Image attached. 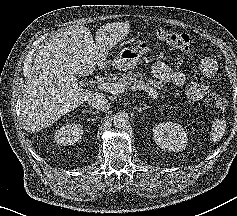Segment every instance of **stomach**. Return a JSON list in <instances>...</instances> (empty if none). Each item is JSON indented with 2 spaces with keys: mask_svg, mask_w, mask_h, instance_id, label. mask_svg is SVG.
I'll list each match as a JSON object with an SVG mask.
<instances>
[{
  "mask_svg": "<svg viewBox=\"0 0 237 216\" xmlns=\"http://www.w3.org/2000/svg\"><path fill=\"white\" fill-rule=\"evenodd\" d=\"M150 45L147 40H142L134 47L123 48L114 59L113 65L123 71L134 69L142 62L141 58L151 51Z\"/></svg>",
  "mask_w": 237,
  "mask_h": 216,
  "instance_id": "1",
  "label": "stomach"
}]
</instances>
